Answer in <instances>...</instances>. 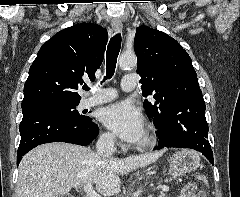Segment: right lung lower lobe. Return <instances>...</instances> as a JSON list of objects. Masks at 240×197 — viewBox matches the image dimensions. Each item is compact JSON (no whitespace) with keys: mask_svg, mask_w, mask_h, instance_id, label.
Returning <instances> with one entry per match:
<instances>
[{"mask_svg":"<svg viewBox=\"0 0 240 197\" xmlns=\"http://www.w3.org/2000/svg\"><path fill=\"white\" fill-rule=\"evenodd\" d=\"M20 123L21 141L17 152V165L34 147L49 142H67L86 146L98 135V126L89 118L85 124H77L59 112L41 107L22 109Z\"/></svg>","mask_w":240,"mask_h":197,"instance_id":"98d812e1","label":"right lung lower lobe"}]
</instances>
